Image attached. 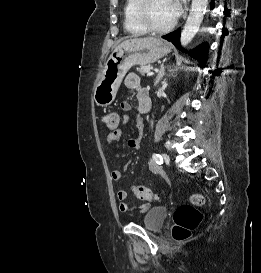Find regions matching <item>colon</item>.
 <instances>
[{
	"label": "colon",
	"mask_w": 261,
	"mask_h": 273,
	"mask_svg": "<svg viewBox=\"0 0 261 273\" xmlns=\"http://www.w3.org/2000/svg\"><path fill=\"white\" fill-rule=\"evenodd\" d=\"M103 124L109 129H116L120 123V115L117 112H108L102 115ZM133 194L140 200L148 202L157 201L158 194L142 185L132 187ZM205 204V198L201 194H192L189 197V203L181 205L174 214L175 226L173 228V237L176 240L186 239L191 231L195 229L202 220V214L194 206Z\"/></svg>",
	"instance_id": "colon-1"
}]
</instances>
